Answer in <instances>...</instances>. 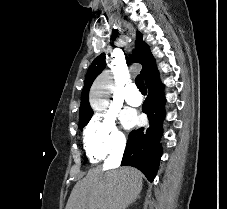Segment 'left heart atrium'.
Here are the masks:
<instances>
[{
  "label": "left heart atrium",
  "mask_w": 227,
  "mask_h": 209,
  "mask_svg": "<svg viewBox=\"0 0 227 209\" xmlns=\"http://www.w3.org/2000/svg\"><path fill=\"white\" fill-rule=\"evenodd\" d=\"M122 124L125 128L130 129L138 122L136 113L132 110H125L121 116Z\"/></svg>",
  "instance_id": "left-heart-atrium-1"
}]
</instances>
